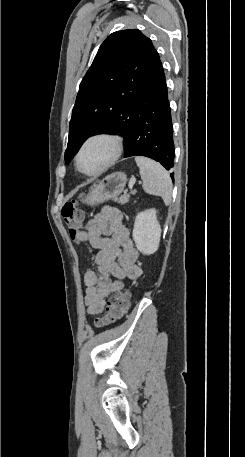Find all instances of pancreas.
<instances>
[{
  "label": "pancreas",
  "mask_w": 245,
  "mask_h": 457,
  "mask_svg": "<svg viewBox=\"0 0 245 457\" xmlns=\"http://www.w3.org/2000/svg\"><path fill=\"white\" fill-rule=\"evenodd\" d=\"M115 200L120 202V204H125V202H128L129 194H127V190H124V194H121L120 198H115Z\"/></svg>",
  "instance_id": "pancreas-1"
}]
</instances>
